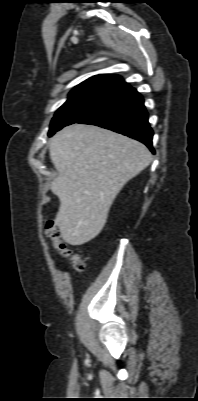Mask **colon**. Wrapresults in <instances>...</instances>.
<instances>
[{
  "label": "colon",
  "instance_id": "5ec220e1",
  "mask_svg": "<svg viewBox=\"0 0 198 401\" xmlns=\"http://www.w3.org/2000/svg\"><path fill=\"white\" fill-rule=\"evenodd\" d=\"M46 236L50 239L54 249L62 256L67 257L72 262V267L76 271H81L84 268V263L81 258L72 252L65 242L60 238L59 230L54 221L46 223Z\"/></svg>",
  "mask_w": 198,
  "mask_h": 401
}]
</instances>
